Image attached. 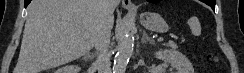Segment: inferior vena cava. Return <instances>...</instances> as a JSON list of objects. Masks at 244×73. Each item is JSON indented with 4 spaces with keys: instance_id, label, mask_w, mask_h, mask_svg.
Returning <instances> with one entry per match:
<instances>
[{
    "instance_id": "602c4592",
    "label": "inferior vena cava",
    "mask_w": 244,
    "mask_h": 73,
    "mask_svg": "<svg viewBox=\"0 0 244 73\" xmlns=\"http://www.w3.org/2000/svg\"><path fill=\"white\" fill-rule=\"evenodd\" d=\"M118 2L119 0H100L101 11L99 25L94 41L98 53V57L95 61L98 73H112L108 47L111 38V17L113 16L114 9L118 5Z\"/></svg>"
}]
</instances>
